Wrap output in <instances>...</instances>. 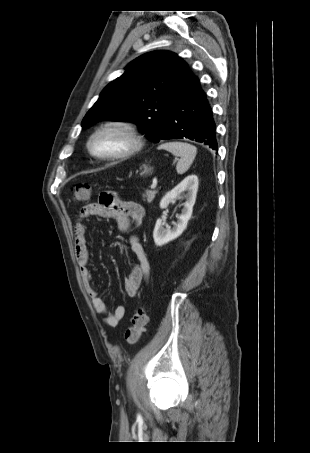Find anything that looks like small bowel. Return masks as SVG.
Listing matches in <instances>:
<instances>
[{
    "mask_svg": "<svg viewBox=\"0 0 310 453\" xmlns=\"http://www.w3.org/2000/svg\"><path fill=\"white\" fill-rule=\"evenodd\" d=\"M91 216H100L113 218L117 221L121 231L127 232L131 225L139 226L145 218L144 208L135 202L126 201L114 196L110 205H102L99 202H93L85 205L78 212L77 222L74 227L75 236V255L80 267L81 278L87 294L89 295L95 311L103 314V322L109 327L117 326L125 316V307L118 305L113 311H109L103 299L99 296L97 288L93 281V275L88 268L89 250L86 241V225L84 221ZM131 250L137 256L139 264L134 266L125 279L124 289L129 297L137 295L141 284L148 278L150 266L144 249L138 237L132 235L129 237Z\"/></svg>",
    "mask_w": 310,
    "mask_h": 453,
    "instance_id": "c3829d8e",
    "label": "small bowel"
}]
</instances>
